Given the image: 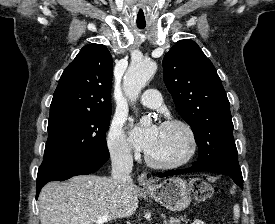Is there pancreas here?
<instances>
[{
  "mask_svg": "<svg viewBox=\"0 0 275 224\" xmlns=\"http://www.w3.org/2000/svg\"><path fill=\"white\" fill-rule=\"evenodd\" d=\"M182 222L187 223V220L185 217H179V218H170L169 220H165L164 224H182Z\"/></svg>",
  "mask_w": 275,
  "mask_h": 224,
  "instance_id": "pancreas-1",
  "label": "pancreas"
}]
</instances>
